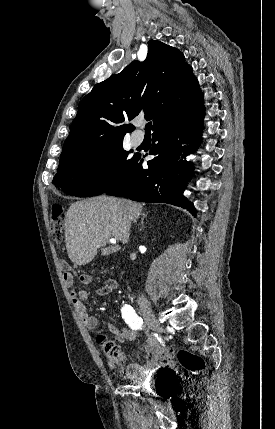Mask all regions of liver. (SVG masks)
Instances as JSON below:
<instances>
[{
  "mask_svg": "<svg viewBox=\"0 0 275 429\" xmlns=\"http://www.w3.org/2000/svg\"><path fill=\"white\" fill-rule=\"evenodd\" d=\"M142 208L137 202L109 196L73 203L65 219V242L71 261L77 265L90 263L112 236L126 244L131 224L140 217Z\"/></svg>",
  "mask_w": 275,
  "mask_h": 429,
  "instance_id": "1",
  "label": "liver"
}]
</instances>
